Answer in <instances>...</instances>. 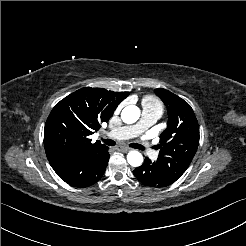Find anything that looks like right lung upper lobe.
Returning <instances> with one entry per match:
<instances>
[{
  "mask_svg": "<svg viewBox=\"0 0 246 246\" xmlns=\"http://www.w3.org/2000/svg\"><path fill=\"white\" fill-rule=\"evenodd\" d=\"M129 92L85 87L62 99L51 111L44 128L47 157L58 153H84L104 147L89 138L107 122Z\"/></svg>",
  "mask_w": 246,
  "mask_h": 246,
  "instance_id": "cb5924a9",
  "label": "right lung upper lobe"
}]
</instances>
